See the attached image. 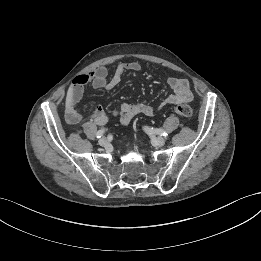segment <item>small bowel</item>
<instances>
[{"mask_svg": "<svg viewBox=\"0 0 261 261\" xmlns=\"http://www.w3.org/2000/svg\"><path fill=\"white\" fill-rule=\"evenodd\" d=\"M140 70L141 65L137 62H123L116 67L109 80L107 79L108 71L103 66L75 77L67 93L68 121L72 124L80 121L81 116L75 109V105L82 99L84 88L87 84H91L96 89L110 91L120 83L126 71ZM166 82L172 93L159 104L123 103L111 113H106L100 105H96L93 110V122L96 125H105L111 117H118L121 124L127 125L137 115L152 117L158 114L166 105H177L192 101L193 94L188 80L169 77Z\"/></svg>", "mask_w": 261, "mask_h": 261, "instance_id": "c3829d8e", "label": "small bowel"}]
</instances>
